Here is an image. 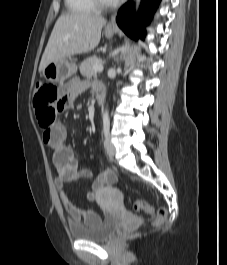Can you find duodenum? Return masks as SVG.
Returning <instances> with one entry per match:
<instances>
[{
  "instance_id": "obj_1",
  "label": "duodenum",
  "mask_w": 227,
  "mask_h": 265,
  "mask_svg": "<svg viewBox=\"0 0 227 265\" xmlns=\"http://www.w3.org/2000/svg\"><path fill=\"white\" fill-rule=\"evenodd\" d=\"M105 99V90L104 88H98L96 90V102L98 105H101Z\"/></svg>"
}]
</instances>
